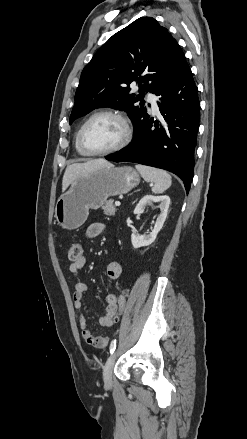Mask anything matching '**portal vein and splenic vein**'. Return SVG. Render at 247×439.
<instances>
[{"label":"portal vein and splenic vein","instance_id":"portal-vein-and-splenic-vein-1","mask_svg":"<svg viewBox=\"0 0 247 439\" xmlns=\"http://www.w3.org/2000/svg\"><path fill=\"white\" fill-rule=\"evenodd\" d=\"M120 205H121V203L119 201L115 202V206H120Z\"/></svg>","mask_w":247,"mask_h":439}]
</instances>
